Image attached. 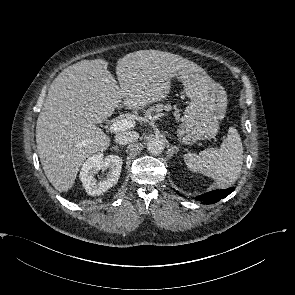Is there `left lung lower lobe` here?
<instances>
[{
    "label": "left lung lower lobe",
    "mask_w": 295,
    "mask_h": 295,
    "mask_svg": "<svg viewBox=\"0 0 295 295\" xmlns=\"http://www.w3.org/2000/svg\"><path fill=\"white\" fill-rule=\"evenodd\" d=\"M233 191V187L224 190H214L203 195H200L196 199L202 201L203 204H213L218 202L220 199L225 198Z\"/></svg>",
    "instance_id": "0a47b994"
}]
</instances>
